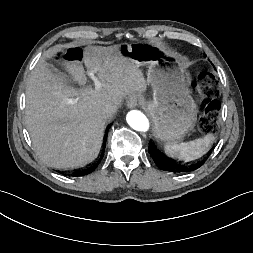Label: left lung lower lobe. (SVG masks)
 I'll return each instance as SVG.
<instances>
[{"label": "left lung lower lobe", "instance_id": "obj_1", "mask_svg": "<svg viewBox=\"0 0 253 253\" xmlns=\"http://www.w3.org/2000/svg\"><path fill=\"white\" fill-rule=\"evenodd\" d=\"M149 152L156 163V165L165 171H170L174 173H185V172H192L204 164V161H201L196 164L191 165H181L176 163L175 161L161 155L157 151L153 150L152 148L149 149Z\"/></svg>", "mask_w": 253, "mask_h": 253}]
</instances>
